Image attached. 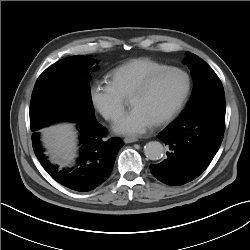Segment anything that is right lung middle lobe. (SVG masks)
I'll list each match as a JSON object with an SVG mask.
<instances>
[{
  "instance_id": "1",
  "label": "right lung middle lobe",
  "mask_w": 250,
  "mask_h": 250,
  "mask_svg": "<svg viewBox=\"0 0 250 250\" xmlns=\"http://www.w3.org/2000/svg\"><path fill=\"white\" fill-rule=\"evenodd\" d=\"M95 61L89 56H71L47 68L38 78L30 103V128L38 131L55 121L95 119L90 93V72Z\"/></svg>"
}]
</instances>
